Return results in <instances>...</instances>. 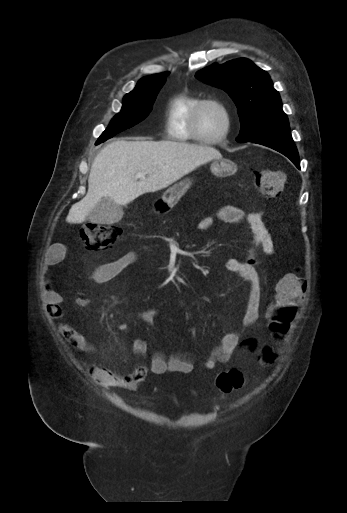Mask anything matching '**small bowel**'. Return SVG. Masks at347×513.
Instances as JSON below:
<instances>
[{"label":"small bowel","instance_id":"small-bowel-1","mask_svg":"<svg viewBox=\"0 0 347 513\" xmlns=\"http://www.w3.org/2000/svg\"><path fill=\"white\" fill-rule=\"evenodd\" d=\"M216 220L235 226H247L253 238L252 249L244 260L233 259L226 262L225 268L228 271L239 274L245 280L248 286V298L240 327L222 335L218 344L208 352L203 366L209 370L214 369L220 363L229 362L242 345H249L252 341L246 329L253 325L259 316L260 288L256 266L260 263L262 256L271 255L274 251L270 233L260 213L246 214L239 208L229 205L222 206L214 212L213 216L203 217L198 223V229L209 230ZM62 251L63 246L60 243L51 246L43 261L39 279L41 293L48 312L57 319H62L64 316L63 297L52 285L50 269L61 261ZM138 262L139 254L135 251L128 252L112 262L98 266L92 274L93 281L97 284L106 283ZM76 304L85 307L87 300L80 298ZM158 314L157 309H150L144 312L141 318L149 325H153ZM59 330L78 350L87 354L92 352V347L87 339L70 325L62 322L59 325ZM147 347V342L143 339L137 338L132 342V350L137 357H145ZM193 367L192 360L187 356L156 352L152 356L149 367L142 364L137 365L127 376H118L103 367H91L90 374L94 380L109 387L135 389L149 371L158 375L167 372L189 373Z\"/></svg>","mask_w":347,"mask_h":513}]
</instances>
